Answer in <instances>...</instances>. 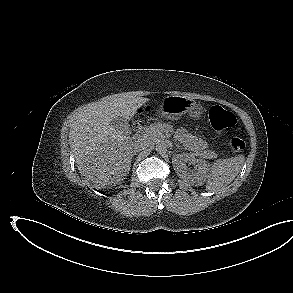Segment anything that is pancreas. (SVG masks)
<instances>
[{
  "label": "pancreas",
  "instance_id": "obj_1",
  "mask_svg": "<svg viewBox=\"0 0 293 293\" xmlns=\"http://www.w3.org/2000/svg\"><path fill=\"white\" fill-rule=\"evenodd\" d=\"M165 127H166L165 124H162L160 122L151 124L145 130V134H144L145 139L149 141H155L159 138H163ZM195 154L207 159L217 158L216 152L211 150L197 151L195 152Z\"/></svg>",
  "mask_w": 293,
  "mask_h": 293
}]
</instances>
